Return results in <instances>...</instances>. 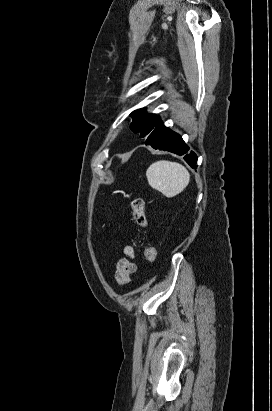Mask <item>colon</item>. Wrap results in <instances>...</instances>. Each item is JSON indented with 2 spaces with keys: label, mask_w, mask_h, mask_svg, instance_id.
Instances as JSON below:
<instances>
[{
  "label": "colon",
  "mask_w": 272,
  "mask_h": 411,
  "mask_svg": "<svg viewBox=\"0 0 272 411\" xmlns=\"http://www.w3.org/2000/svg\"><path fill=\"white\" fill-rule=\"evenodd\" d=\"M130 205L135 222L141 227H146L147 216L144 200L141 197H136L132 199ZM144 257L148 262L154 263L157 260V253L154 248L146 247L144 249Z\"/></svg>",
  "instance_id": "1"
}]
</instances>
